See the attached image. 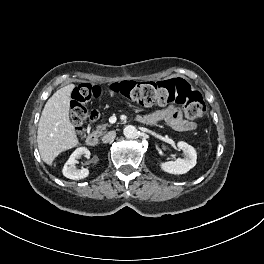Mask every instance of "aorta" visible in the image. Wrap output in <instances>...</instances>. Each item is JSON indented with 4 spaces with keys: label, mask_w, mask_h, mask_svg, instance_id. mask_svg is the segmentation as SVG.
<instances>
[{
    "label": "aorta",
    "mask_w": 264,
    "mask_h": 264,
    "mask_svg": "<svg viewBox=\"0 0 264 264\" xmlns=\"http://www.w3.org/2000/svg\"><path fill=\"white\" fill-rule=\"evenodd\" d=\"M123 133H124V136L128 139H134L138 135L137 129L132 125L126 126L123 130Z\"/></svg>",
    "instance_id": "762f6f07"
}]
</instances>
